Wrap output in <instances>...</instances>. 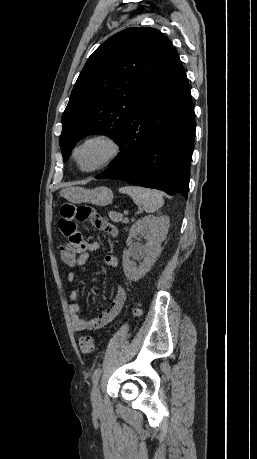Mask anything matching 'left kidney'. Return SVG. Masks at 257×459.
<instances>
[{"label":"left kidney","instance_id":"obj_1","mask_svg":"<svg viewBox=\"0 0 257 459\" xmlns=\"http://www.w3.org/2000/svg\"><path fill=\"white\" fill-rule=\"evenodd\" d=\"M169 223L168 216L148 215L132 225L122 257L123 270L129 280L138 281L151 269L161 252V243L166 238ZM137 235L146 239L144 246L133 244L132 239ZM131 258L142 262L134 266Z\"/></svg>","mask_w":257,"mask_h":459}]
</instances>
